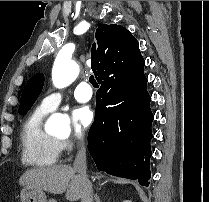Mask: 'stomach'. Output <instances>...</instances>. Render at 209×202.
<instances>
[{
    "mask_svg": "<svg viewBox=\"0 0 209 202\" xmlns=\"http://www.w3.org/2000/svg\"><path fill=\"white\" fill-rule=\"evenodd\" d=\"M21 202H56L53 199L47 200L43 190L25 186L20 191Z\"/></svg>",
    "mask_w": 209,
    "mask_h": 202,
    "instance_id": "obj_1",
    "label": "stomach"
}]
</instances>
